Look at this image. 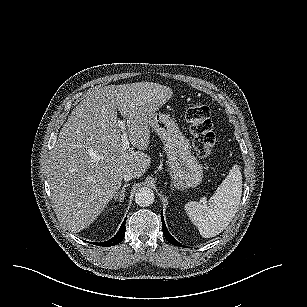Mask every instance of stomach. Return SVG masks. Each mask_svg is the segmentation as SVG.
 Instances as JSON below:
<instances>
[{"instance_id":"0dacf381","label":"stomach","mask_w":307,"mask_h":307,"mask_svg":"<svg viewBox=\"0 0 307 307\" xmlns=\"http://www.w3.org/2000/svg\"><path fill=\"white\" fill-rule=\"evenodd\" d=\"M150 120V127L164 144L175 185L195 187L200 184L203 166L192 155L189 140L177 127L174 119L168 114L154 112Z\"/></svg>"}]
</instances>
